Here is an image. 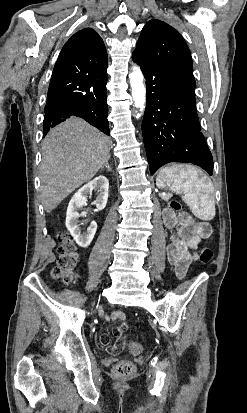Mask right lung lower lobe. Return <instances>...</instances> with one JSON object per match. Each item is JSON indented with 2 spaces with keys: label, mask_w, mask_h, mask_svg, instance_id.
Instances as JSON below:
<instances>
[{
  "label": "right lung lower lobe",
  "mask_w": 247,
  "mask_h": 413,
  "mask_svg": "<svg viewBox=\"0 0 247 413\" xmlns=\"http://www.w3.org/2000/svg\"><path fill=\"white\" fill-rule=\"evenodd\" d=\"M106 83L107 67L87 73L54 70L45 106L43 137L51 127L71 116L81 117L110 135Z\"/></svg>",
  "instance_id": "98d812e1"
}]
</instances>
